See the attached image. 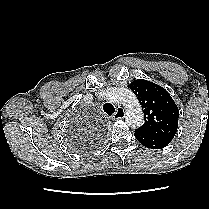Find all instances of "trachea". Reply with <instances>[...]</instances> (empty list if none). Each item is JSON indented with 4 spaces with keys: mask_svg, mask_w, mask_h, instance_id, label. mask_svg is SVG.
<instances>
[{
    "mask_svg": "<svg viewBox=\"0 0 209 209\" xmlns=\"http://www.w3.org/2000/svg\"><path fill=\"white\" fill-rule=\"evenodd\" d=\"M103 110L108 116H111L115 112V108L111 103H105L103 105Z\"/></svg>",
    "mask_w": 209,
    "mask_h": 209,
    "instance_id": "3493384b",
    "label": "trachea"
}]
</instances>
